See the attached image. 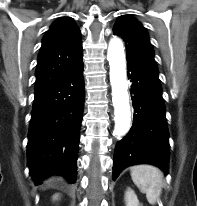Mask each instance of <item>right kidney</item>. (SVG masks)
Here are the masks:
<instances>
[{"label":"right kidney","instance_id":"ca27d5eb","mask_svg":"<svg viewBox=\"0 0 197 206\" xmlns=\"http://www.w3.org/2000/svg\"><path fill=\"white\" fill-rule=\"evenodd\" d=\"M53 199L54 200L58 199V195L53 196Z\"/></svg>","mask_w":197,"mask_h":206}]
</instances>
